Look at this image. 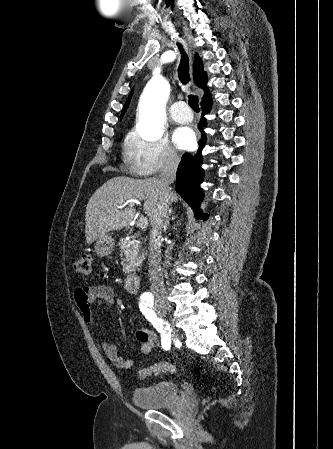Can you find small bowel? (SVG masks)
I'll return each mask as SVG.
<instances>
[{
  "instance_id": "obj_1",
  "label": "small bowel",
  "mask_w": 333,
  "mask_h": 449,
  "mask_svg": "<svg viewBox=\"0 0 333 449\" xmlns=\"http://www.w3.org/2000/svg\"><path fill=\"white\" fill-rule=\"evenodd\" d=\"M114 291L108 285H95L78 287L74 291V301L81 313L84 322L93 327L95 318L93 313V305H111L114 302ZM136 339L140 344L142 354L150 353L158 344V338L155 333L147 328H140L136 332ZM102 349L106 357L118 368L129 369L133 366L131 359L123 358L119 355L117 347L108 342L102 343Z\"/></svg>"
}]
</instances>
